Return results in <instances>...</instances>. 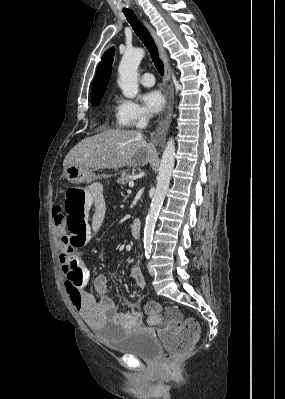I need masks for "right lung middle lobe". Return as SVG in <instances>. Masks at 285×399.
Segmentation results:
<instances>
[{"instance_id": "dd1d6c3e", "label": "right lung middle lobe", "mask_w": 285, "mask_h": 399, "mask_svg": "<svg viewBox=\"0 0 285 399\" xmlns=\"http://www.w3.org/2000/svg\"><path fill=\"white\" fill-rule=\"evenodd\" d=\"M103 94H104V93H101V94L92 96V97H91V104L94 105V106H96L97 104H99V102H100V100H101Z\"/></svg>"}]
</instances>
